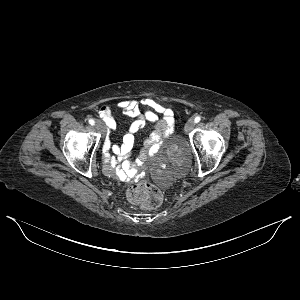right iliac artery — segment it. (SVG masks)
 I'll return each instance as SVG.
<instances>
[{"mask_svg": "<svg viewBox=\"0 0 300 300\" xmlns=\"http://www.w3.org/2000/svg\"><path fill=\"white\" fill-rule=\"evenodd\" d=\"M88 122H89V124H91V125H95V121H94L93 119H89Z\"/></svg>", "mask_w": 300, "mask_h": 300, "instance_id": "1", "label": "right iliac artery"}]
</instances>
